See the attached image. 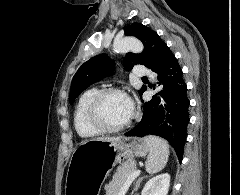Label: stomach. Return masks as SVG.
<instances>
[{
  "mask_svg": "<svg viewBox=\"0 0 240 195\" xmlns=\"http://www.w3.org/2000/svg\"><path fill=\"white\" fill-rule=\"evenodd\" d=\"M150 151L145 137H124L117 141L85 139L75 147L66 177L65 195H99L114 165L122 159L142 157Z\"/></svg>",
  "mask_w": 240,
  "mask_h": 195,
  "instance_id": "obj_1",
  "label": "stomach"
}]
</instances>
